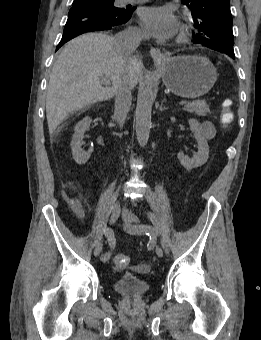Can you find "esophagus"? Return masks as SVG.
<instances>
[{
	"instance_id": "obj_1",
	"label": "esophagus",
	"mask_w": 261,
	"mask_h": 340,
	"mask_svg": "<svg viewBox=\"0 0 261 340\" xmlns=\"http://www.w3.org/2000/svg\"><path fill=\"white\" fill-rule=\"evenodd\" d=\"M150 55L154 62H162L165 60V56L159 48H152L150 50Z\"/></svg>"
}]
</instances>
